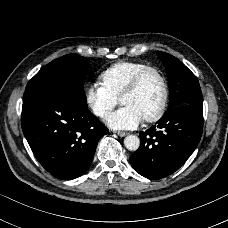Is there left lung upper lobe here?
Returning <instances> with one entry per match:
<instances>
[{"mask_svg": "<svg viewBox=\"0 0 228 228\" xmlns=\"http://www.w3.org/2000/svg\"><path fill=\"white\" fill-rule=\"evenodd\" d=\"M157 55L164 63L168 76L170 88L168 110L182 105H203L197 77L174 56L160 51Z\"/></svg>", "mask_w": 228, "mask_h": 228, "instance_id": "1", "label": "left lung upper lobe"}]
</instances>
